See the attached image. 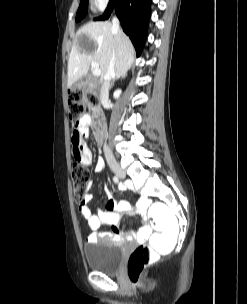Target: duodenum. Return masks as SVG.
Listing matches in <instances>:
<instances>
[{"instance_id": "1", "label": "duodenum", "mask_w": 247, "mask_h": 304, "mask_svg": "<svg viewBox=\"0 0 247 304\" xmlns=\"http://www.w3.org/2000/svg\"><path fill=\"white\" fill-rule=\"evenodd\" d=\"M89 107V106H88ZM96 115H92V120H94L91 129L93 130V136H96V144H102V138L105 139L108 137V132L106 131V122L107 115H102V112L99 108L95 110Z\"/></svg>"}]
</instances>
